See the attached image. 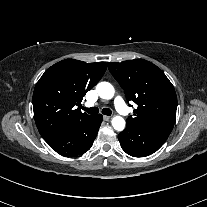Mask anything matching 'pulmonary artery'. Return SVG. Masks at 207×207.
I'll list each match as a JSON object with an SVG mask.
<instances>
[{"label": "pulmonary artery", "mask_w": 207, "mask_h": 207, "mask_svg": "<svg viewBox=\"0 0 207 207\" xmlns=\"http://www.w3.org/2000/svg\"><path fill=\"white\" fill-rule=\"evenodd\" d=\"M87 105L91 106V104H87ZM114 106H115L116 110L120 113H122L126 109L125 103L123 102V100L119 96H116L114 98Z\"/></svg>", "instance_id": "pulmonary-artery-1"}]
</instances>
